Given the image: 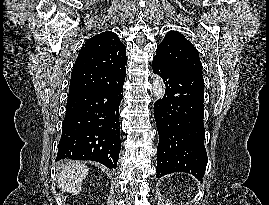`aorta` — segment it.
I'll use <instances>...</instances> for the list:
<instances>
[{
    "label": "aorta",
    "instance_id": "aorta-1",
    "mask_svg": "<svg viewBox=\"0 0 269 205\" xmlns=\"http://www.w3.org/2000/svg\"><path fill=\"white\" fill-rule=\"evenodd\" d=\"M152 93L156 100L162 99L165 95V84L158 75H155L153 78Z\"/></svg>",
    "mask_w": 269,
    "mask_h": 205
}]
</instances>
